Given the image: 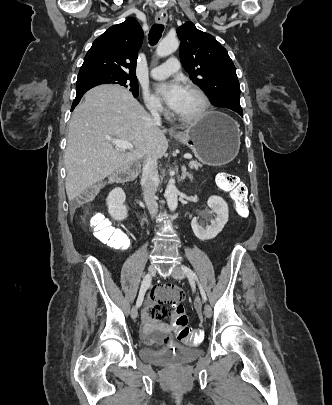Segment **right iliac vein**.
I'll use <instances>...</instances> for the list:
<instances>
[{
  "label": "right iliac vein",
  "instance_id": "63e3f726",
  "mask_svg": "<svg viewBox=\"0 0 332 405\" xmlns=\"http://www.w3.org/2000/svg\"><path fill=\"white\" fill-rule=\"evenodd\" d=\"M155 272H156V267H155L154 265H151V266L148 268V274H147V275H149L150 277H152V276L155 274ZM137 316H138V309H137V306H134V307L131 309V318H132V319H136Z\"/></svg>",
  "mask_w": 332,
  "mask_h": 405
}]
</instances>
